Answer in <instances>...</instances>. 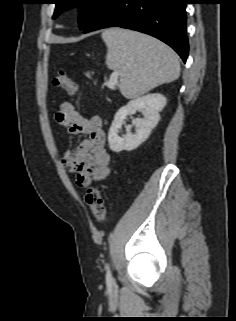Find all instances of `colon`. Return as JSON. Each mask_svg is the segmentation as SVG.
<instances>
[{
    "label": "colon",
    "mask_w": 236,
    "mask_h": 321,
    "mask_svg": "<svg viewBox=\"0 0 236 321\" xmlns=\"http://www.w3.org/2000/svg\"><path fill=\"white\" fill-rule=\"evenodd\" d=\"M53 85L62 88L71 96L77 92L76 84L64 70H59L58 74L53 78ZM85 202L90 208L95 222L100 225L103 224L106 210L101 190L96 186L88 187L85 193Z\"/></svg>",
    "instance_id": "obj_1"
}]
</instances>
